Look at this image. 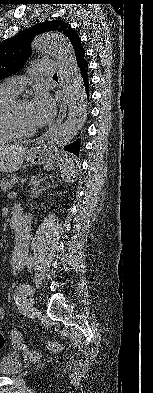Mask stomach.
<instances>
[{
  "label": "stomach",
  "mask_w": 153,
  "mask_h": 393,
  "mask_svg": "<svg viewBox=\"0 0 153 393\" xmlns=\"http://www.w3.org/2000/svg\"><path fill=\"white\" fill-rule=\"evenodd\" d=\"M54 152L49 150L44 145L35 144L31 147H26L24 159L30 165H43L49 162L53 157Z\"/></svg>",
  "instance_id": "stomach-1"
}]
</instances>
